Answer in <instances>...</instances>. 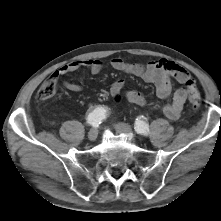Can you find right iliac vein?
I'll return each instance as SVG.
<instances>
[{
	"label": "right iliac vein",
	"instance_id": "obj_1",
	"mask_svg": "<svg viewBox=\"0 0 221 221\" xmlns=\"http://www.w3.org/2000/svg\"><path fill=\"white\" fill-rule=\"evenodd\" d=\"M98 136V130L96 128H92L89 132H88V139L90 141H95L96 138Z\"/></svg>",
	"mask_w": 221,
	"mask_h": 221
}]
</instances>
